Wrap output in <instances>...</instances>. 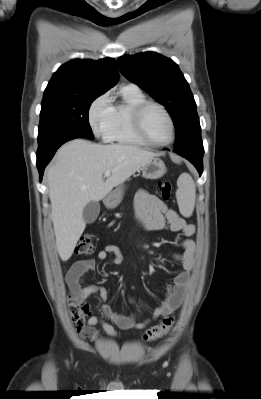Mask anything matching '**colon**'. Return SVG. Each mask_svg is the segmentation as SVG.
<instances>
[{"label":"colon","mask_w":261,"mask_h":399,"mask_svg":"<svg viewBox=\"0 0 261 399\" xmlns=\"http://www.w3.org/2000/svg\"><path fill=\"white\" fill-rule=\"evenodd\" d=\"M158 188L161 197L164 200H169L172 190L170 182L167 180H162L158 183ZM94 249L95 245L93 236L90 234H85L79 238L75 252L79 255H87L91 254ZM68 312L75 329L80 333L84 332L86 329L85 321L90 315L89 306L76 296L71 295L68 300ZM173 325L174 318L172 316H166L159 324L145 331L144 339L146 341L157 340L165 336L171 330Z\"/></svg>","instance_id":"5ec220e1"}]
</instances>
